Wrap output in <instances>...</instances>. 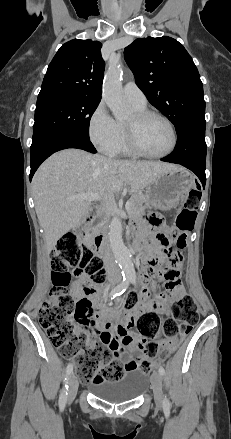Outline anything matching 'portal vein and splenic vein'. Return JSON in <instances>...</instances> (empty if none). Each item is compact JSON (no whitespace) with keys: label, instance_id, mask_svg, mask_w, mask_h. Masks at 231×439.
<instances>
[{"label":"portal vein and splenic vein","instance_id":"portal-vein-and-splenic-vein-1","mask_svg":"<svg viewBox=\"0 0 231 439\" xmlns=\"http://www.w3.org/2000/svg\"><path fill=\"white\" fill-rule=\"evenodd\" d=\"M71 200L80 199V200H87V201H98L100 200V195L97 193H80L76 194L70 197ZM126 210H129L130 208V201L126 202L125 205Z\"/></svg>","mask_w":231,"mask_h":439}]
</instances>
